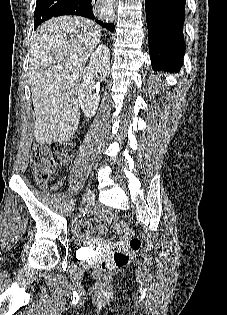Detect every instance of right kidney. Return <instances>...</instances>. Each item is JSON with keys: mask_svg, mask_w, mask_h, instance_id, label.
<instances>
[{"mask_svg": "<svg viewBox=\"0 0 227 315\" xmlns=\"http://www.w3.org/2000/svg\"><path fill=\"white\" fill-rule=\"evenodd\" d=\"M94 74H100L103 77L110 74V52L106 45H99L92 53L89 65L83 73L84 82L79 87V104L87 118L96 114L100 102L99 94L94 92Z\"/></svg>", "mask_w": 227, "mask_h": 315, "instance_id": "ca27d5eb", "label": "right kidney"}]
</instances>
